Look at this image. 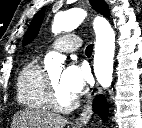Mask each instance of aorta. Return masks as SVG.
<instances>
[{
	"label": "aorta",
	"instance_id": "1",
	"mask_svg": "<svg viewBox=\"0 0 142 128\" xmlns=\"http://www.w3.org/2000/svg\"><path fill=\"white\" fill-rule=\"evenodd\" d=\"M86 12L79 8L58 12L52 24V32L59 34L62 31L76 29L85 19ZM94 31L96 34L94 73L97 81L103 88L111 86L113 77V63L115 53V32L110 23L101 17L94 20ZM64 59L57 52H49L44 59L47 70L62 65Z\"/></svg>",
	"mask_w": 142,
	"mask_h": 128
}]
</instances>
